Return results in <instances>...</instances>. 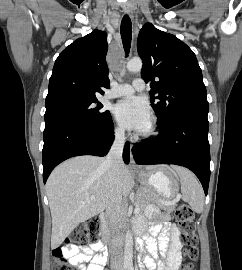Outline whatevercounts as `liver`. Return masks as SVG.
Masks as SVG:
<instances>
[{
  "label": "liver",
  "mask_w": 242,
  "mask_h": 270,
  "mask_svg": "<svg viewBox=\"0 0 242 270\" xmlns=\"http://www.w3.org/2000/svg\"><path fill=\"white\" fill-rule=\"evenodd\" d=\"M104 161L97 156H77L61 163L49 176L46 190L52 216V249L59 247L80 223L107 207L112 186ZM121 176L122 196L126 197L135 182L124 164Z\"/></svg>",
  "instance_id": "1"
}]
</instances>
